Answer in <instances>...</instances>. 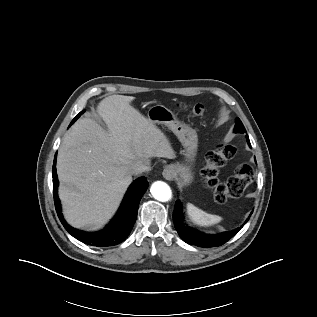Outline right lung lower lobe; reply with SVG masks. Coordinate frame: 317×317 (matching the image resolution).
<instances>
[{
    "label": "right lung lower lobe",
    "instance_id": "obj_1",
    "mask_svg": "<svg viewBox=\"0 0 317 317\" xmlns=\"http://www.w3.org/2000/svg\"><path fill=\"white\" fill-rule=\"evenodd\" d=\"M75 120L73 119L71 124ZM56 158H54V164L52 169L53 174V193L55 201V209L58 217L63 224L64 228L77 240L82 241L85 244L95 247H108L121 243L129 235L133 228V225L137 218V211L141 197L145 193L148 182L145 177H140L135 180L129 187L121 207L119 208L116 216L105 227V229L99 232H84L71 227L63 218L61 213V204L57 194L58 178L56 173Z\"/></svg>",
    "mask_w": 317,
    "mask_h": 317
}]
</instances>
